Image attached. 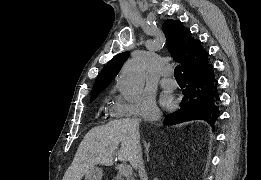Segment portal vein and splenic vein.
I'll list each match as a JSON object with an SVG mask.
<instances>
[{
	"instance_id": "portal-vein-and-splenic-vein-1",
	"label": "portal vein and splenic vein",
	"mask_w": 261,
	"mask_h": 180,
	"mask_svg": "<svg viewBox=\"0 0 261 180\" xmlns=\"http://www.w3.org/2000/svg\"><path fill=\"white\" fill-rule=\"evenodd\" d=\"M132 168H122V172L121 174H123V176H125V178H127V176H132Z\"/></svg>"
}]
</instances>
